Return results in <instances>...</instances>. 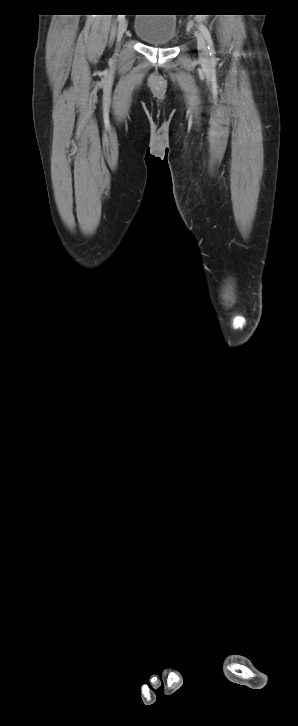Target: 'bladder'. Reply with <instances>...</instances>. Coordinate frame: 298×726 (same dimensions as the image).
<instances>
[{
	"label": "bladder",
	"mask_w": 298,
	"mask_h": 726,
	"mask_svg": "<svg viewBox=\"0 0 298 726\" xmlns=\"http://www.w3.org/2000/svg\"><path fill=\"white\" fill-rule=\"evenodd\" d=\"M134 33L147 45L167 47L174 43L177 21L172 14H139L134 25Z\"/></svg>",
	"instance_id": "bladder-1"
}]
</instances>
